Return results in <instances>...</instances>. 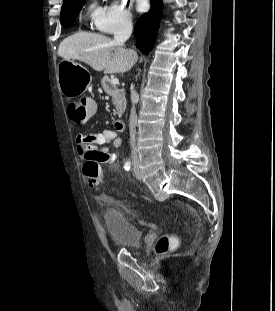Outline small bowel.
I'll return each instance as SVG.
<instances>
[{"label":"small bowel","mask_w":275,"mask_h":311,"mask_svg":"<svg viewBox=\"0 0 275 311\" xmlns=\"http://www.w3.org/2000/svg\"><path fill=\"white\" fill-rule=\"evenodd\" d=\"M76 149L83 161L98 160L113 163L117 159L115 153L104 146L112 143L114 149L122 146V139L116 130L106 129L101 132L80 133L76 136Z\"/></svg>","instance_id":"obj_1"}]
</instances>
